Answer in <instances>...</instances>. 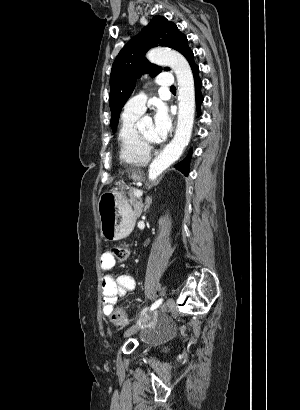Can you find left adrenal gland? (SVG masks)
Instances as JSON below:
<instances>
[{
	"instance_id": "1",
	"label": "left adrenal gland",
	"mask_w": 300,
	"mask_h": 410,
	"mask_svg": "<svg viewBox=\"0 0 300 410\" xmlns=\"http://www.w3.org/2000/svg\"><path fill=\"white\" fill-rule=\"evenodd\" d=\"M151 203H152V198L147 196L146 199H145L144 212H146L149 209Z\"/></svg>"
}]
</instances>
